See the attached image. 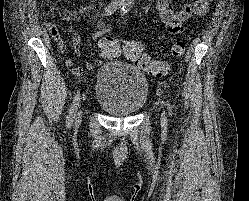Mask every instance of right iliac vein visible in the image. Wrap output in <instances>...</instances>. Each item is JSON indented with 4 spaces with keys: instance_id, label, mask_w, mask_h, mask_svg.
<instances>
[{
    "instance_id": "1",
    "label": "right iliac vein",
    "mask_w": 249,
    "mask_h": 201,
    "mask_svg": "<svg viewBox=\"0 0 249 201\" xmlns=\"http://www.w3.org/2000/svg\"><path fill=\"white\" fill-rule=\"evenodd\" d=\"M81 119H82V112L79 111V112H78V115H77V117H76V122H75V125H76V126H78V125L80 124Z\"/></svg>"
}]
</instances>
